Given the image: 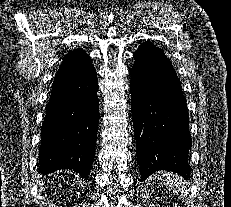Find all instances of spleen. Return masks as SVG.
<instances>
[{"label":"spleen","instance_id":"spleen-1","mask_svg":"<svg viewBox=\"0 0 231 207\" xmlns=\"http://www.w3.org/2000/svg\"><path fill=\"white\" fill-rule=\"evenodd\" d=\"M159 179L168 185L171 190L185 194V187L181 186L183 182L179 176H176L171 172L162 171L159 172Z\"/></svg>","mask_w":231,"mask_h":207}]
</instances>
